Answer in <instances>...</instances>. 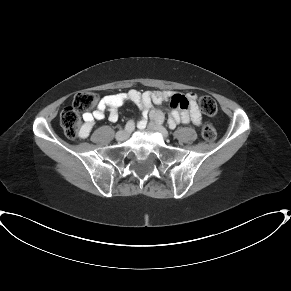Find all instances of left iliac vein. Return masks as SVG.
I'll list each match as a JSON object with an SVG mask.
<instances>
[{
  "instance_id": "4c4485c4",
  "label": "left iliac vein",
  "mask_w": 291,
  "mask_h": 291,
  "mask_svg": "<svg viewBox=\"0 0 291 291\" xmlns=\"http://www.w3.org/2000/svg\"><path fill=\"white\" fill-rule=\"evenodd\" d=\"M149 128L151 130H153V131L159 132L164 138H167L168 137L167 130L163 126H161L160 124H158V123L150 122L149 123Z\"/></svg>"
}]
</instances>
